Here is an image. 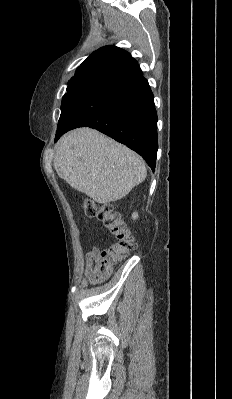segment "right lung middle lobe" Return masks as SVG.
I'll return each mask as SVG.
<instances>
[{"instance_id":"1","label":"right lung middle lobe","mask_w":232,"mask_h":399,"mask_svg":"<svg viewBox=\"0 0 232 399\" xmlns=\"http://www.w3.org/2000/svg\"><path fill=\"white\" fill-rule=\"evenodd\" d=\"M99 80L95 79H78L71 80L68 82L67 93L64 95L61 103V107H63L68 101L76 99L87 89L93 87L98 84Z\"/></svg>"}]
</instances>
